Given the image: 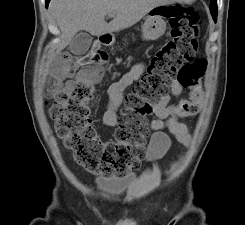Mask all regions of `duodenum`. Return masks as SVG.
Wrapping results in <instances>:
<instances>
[{
    "instance_id": "obj_1",
    "label": "duodenum",
    "mask_w": 245,
    "mask_h": 225,
    "mask_svg": "<svg viewBox=\"0 0 245 225\" xmlns=\"http://www.w3.org/2000/svg\"><path fill=\"white\" fill-rule=\"evenodd\" d=\"M99 40L104 45L108 46L110 42L112 41V37L108 33H104L99 36Z\"/></svg>"
}]
</instances>
